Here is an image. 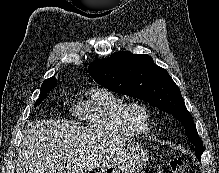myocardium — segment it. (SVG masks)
I'll return each instance as SVG.
<instances>
[{
	"label": "myocardium",
	"instance_id": "1",
	"mask_svg": "<svg viewBox=\"0 0 219 173\" xmlns=\"http://www.w3.org/2000/svg\"><path fill=\"white\" fill-rule=\"evenodd\" d=\"M137 112L143 113V121L137 119ZM123 116L125 122L138 134H146L149 132L152 113L149 106L143 101L132 100L126 102L123 109Z\"/></svg>",
	"mask_w": 219,
	"mask_h": 173
}]
</instances>
